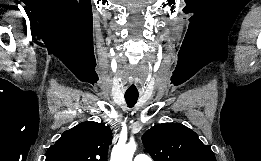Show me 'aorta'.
Returning <instances> with one entry per match:
<instances>
[{
  "instance_id": "762f6f07",
  "label": "aorta",
  "mask_w": 261,
  "mask_h": 161,
  "mask_svg": "<svg viewBox=\"0 0 261 161\" xmlns=\"http://www.w3.org/2000/svg\"><path fill=\"white\" fill-rule=\"evenodd\" d=\"M135 150L136 144L133 141L128 144L118 143L112 150L110 161H132Z\"/></svg>"
}]
</instances>
